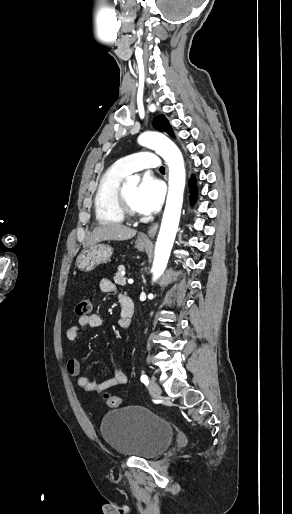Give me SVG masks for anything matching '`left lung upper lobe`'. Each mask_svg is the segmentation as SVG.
<instances>
[{
    "instance_id": "left-lung-upper-lobe-1",
    "label": "left lung upper lobe",
    "mask_w": 292,
    "mask_h": 514,
    "mask_svg": "<svg viewBox=\"0 0 292 514\" xmlns=\"http://www.w3.org/2000/svg\"><path fill=\"white\" fill-rule=\"evenodd\" d=\"M153 126L155 129L159 131L167 132L170 136L174 137V133L172 128L168 122V120L164 117V115H160L156 117L153 121Z\"/></svg>"
}]
</instances>
